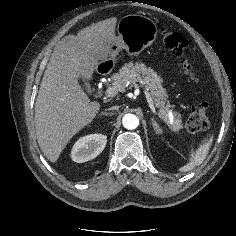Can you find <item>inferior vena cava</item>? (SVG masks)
I'll return each mask as SVG.
<instances>
[{
    "instance_id": "obj_1",
    "label": "inferior vena cava",
    "mask_w": 236,
    "mask_h": 236,
    "mask_svg": "<svg viewBox=\"0 0 236 236\" xmlns=\"http://www.w3.org/2000/svg\"><path fill=\"white\" fill-rule=\"evenodd\" d=\"M119 109V106H112L111 108H110V110H118Z\"/></svg>"
}]
</instances>
